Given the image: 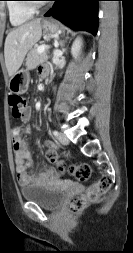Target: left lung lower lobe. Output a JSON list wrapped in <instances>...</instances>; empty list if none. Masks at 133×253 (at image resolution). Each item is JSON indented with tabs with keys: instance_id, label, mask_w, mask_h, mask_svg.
<instances>
[{
	"instance_id": "left-lung-lower-lobe-1",
	"label": "left lung lower lobe",
	"mask_w": 133,
	"mask_h": 253,
	"mask_svg": "<svg viewBox=\"0 0 133 253\" xmlns=\"http://www.w3.org/2000/svg\"><path fill=\"white\" fill-rule=\"evenodd\" d=\"M45 16H52L74 30L95 35L98 28L97 2L101 0H53Z\"/></svg>"
}]
</instances>
